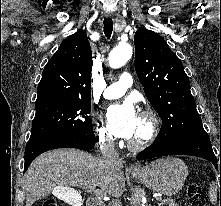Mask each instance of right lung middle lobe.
<instances>
[{"instance_id":"1","label":"right lung middle lobe","mask_w":221,"mask_h":206,"mask_svg":"<svg viewBox=\"0 0 221 206\" xmlns=\"http://www.w3.org/2000/svg\"><path fill=\"white\" fill-rule=\"evenodd\" d=\"M90 103H52L36 107L30 139L50 135L92 134Z\"/></svg>"}]
</instances>
